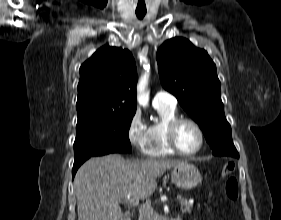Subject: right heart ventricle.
Returning a JSON list of instances; mask_svg holds the SVG:
<instances>
[{
  "label": "right heart ventricle",
  "mask_w": 281,
  "mask_h": 220,
  "mask_svg": "<svg viewBox=\"0 0 281 220\" xmlns=\"http://www.w3.org/2000/svg\"><path fill=\"white\" fill-rule=\"evenodd\" d=\"M160 121L148 127L147 143L144 153L150 157L172 156L175 152L168 146L166 128L168 123L177 116L176 108L156 106Z\"/></svg>",
  "instance_id": "obj_1"
}]
</instances>
